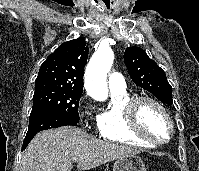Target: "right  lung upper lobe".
Here are the masks:
<instances>
[{"mask_svg": "<svg viewBox=\"0 0 199 171\" xmlns=\"http://www.w3.org/2000/svg\"><path fill=\"white\" fill-rule=\"evenodd\" d=\"M88 51L83 38L62 43L41 65L35 84H53L83 91V70Z\"/></svg>", "mask_w": 199, "mask_h": 171, "instance_id": "obj_1", "label": "right lung upper lobe"}]
</instances>
